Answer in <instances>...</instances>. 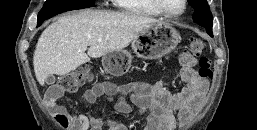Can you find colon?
Wrapping results in <instances>:
<instances>
[{"label":"colon","mask_w":257,"mask_h":130,"mask_svg":"<svg viewBox=\"0 0 257 130\" xmlns=\"http://www.w3.org/2000/svg\"><path fill=\"white\" fill-rule=\"evenodd\" d=\"M189 46L191 53L196 56L201 55L206 49V43L198 37H191ZM198 74L204 79L212 78L213 73L211 64L207 57L200 58ZM91 78L92 74L88 68L75 70L61 77L57 83L50 87L49 93L55 98L61 96L65 92H75L80 86L85 84ZM56 118L60 125L67 127L68 118L66 115L57 114Z\"/></svg>","instance_id":"colon-1"}]
</instances>
